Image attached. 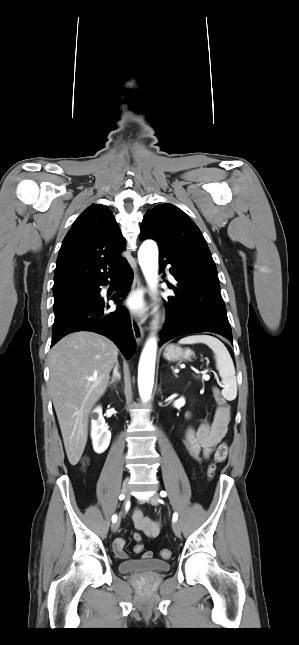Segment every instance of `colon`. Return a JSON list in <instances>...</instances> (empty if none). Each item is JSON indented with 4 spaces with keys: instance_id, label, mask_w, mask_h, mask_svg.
Returning a JSON list of instances; mask_svg holds the SVG:
<instances>
[{
    "instance_id": "5ec220e1",
    "label": "colon",
    "mask_w": 299,
    "mask_h": 645,
    "mask_svg": "<svg viewBox=\"0 0 299 645\" xmlns=\"http://www.w3.org/2000/svg\"><path fill=\"white\" fill-rule=\"evenodd\" d=\"M213 396L215 398V401L219 405V407L222 409V411L225 414H229L230 409H229L228 403H227L226 399L223 397V395L221 393V390L218 387L213 388ZM86 464H87V460L84 459L83 460V465L85 466ZM215 473H216V464L214 462H212V463L209 464V466L207 468L208 478L213 479L214 476H215ZM134 539L137 542H140L141 536L139 534H135ZM134 551L136 553H142L144 551V546L141 543H138V544L135 545ZM160 554H161L162 558H164V559H169L171 557V555H172V553H171V551L169 549L161 550Z\"/></svg>"
}]
</instances>
